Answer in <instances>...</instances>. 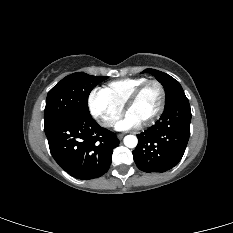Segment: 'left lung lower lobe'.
Returning a JSON list of instances; mask_svg holds the SVG:
<instances>
[{
  "label": "left lung lower lobe",
  "instance_id": "obj_1",
  "mask_svg": "<svg viewBox=\"0 0 233 233\" xmlns=\"http://www.w3.org/2000/svg\"><path fill=\"white\" fill-rule=\"evenodd\" d=\"M191 109L186 97L165 107L160 119L138 136L132 152L137 167L145 172H165L183 157L190 136Z\"/></svg>",
  "mask_w": 233,
  "mask_h": 233
}]
</instances>
